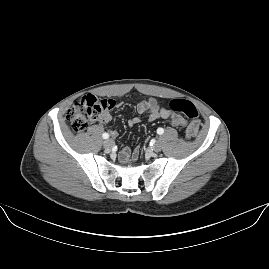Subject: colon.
Returning <instances> with one entry per match:
<instances>
[{
  "label": "colon",
  "mask_w": 269,
  "mask_h": 269,
  "mask_svg": "<svg viewBox=\"0 0 269 269\" xmlns=\"http://www.w3.org/2000/svg\"><path fill=\"white\" fill-rule=\"evenodd\" d=\"M115 106L113 97L100 99L93 94H87L77 101L67 113V119L75 132H84L92 123L101 119L102 115H109L111 108ZM169 108L175 113H182L189 122L198 118L195 105L183 98H174L169 102ZM186 141H192L193 137L185 133Z\"/></svg>",
  "instance_id": "5ec220e1"
}]
</instances>
